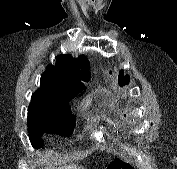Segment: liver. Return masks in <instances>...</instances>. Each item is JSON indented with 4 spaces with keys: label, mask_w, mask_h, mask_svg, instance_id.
I'll list each match as a JSON object with an SVG mask.
<instances>
[{
    "label": "liver",
    "mask_w": 177,
    "mask_h": 169,
    "mask_svg": "<svg viewBox=\"0 0 177 169\" xmlns=\"http://www.w3.org/2000/svg\"><path fill=\"white\" fill-rule=\"evenodd\" d=\"M49 164V162H47ZM45 169H55L52 168L50 165L48 167H46ZM56 169H84L82 166H77L76 164H69V165H64L60 168H56Z\"/></svg>",
    "instance_id": "obj_1"
}]
</instances>
